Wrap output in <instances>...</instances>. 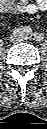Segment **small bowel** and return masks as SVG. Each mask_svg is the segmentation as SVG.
Listing matches in <instances>:
<instances>
[{
	"label": "small bowel",
	"instance_id": "1",
	"mask_svg": "<svg viewBox=\"0 0 47 129\" xmlns=\"http://www.w3.org/2000/svg\"><path fill=\"white\" fill-rule=\"evenodd\" d=\"M1 11L6 13L15 14H35L39 11H45L47 9V0H0Z\"/></svg>",
	"mask_w": 47,
	"mask_h": 129
}]
</instances>
